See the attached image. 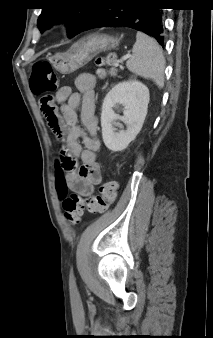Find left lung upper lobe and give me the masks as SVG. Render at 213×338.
<instances>
[{"label":"left lung upper lobe","instance_id":"obj_1","mask_svg":"<svg viewBox=\"0 0 213 338\" xmlns=\"http://www.w3.org/2000/svg\"><path fill=\"white\" fill-rule=\"evenodd\" d=\"M104 0H44L38 27H50L61 20L67 21L69 38L81 32L86 22L99 9Z\"/></svg>","mask_w":213,"mask_h":338}]
</instances>
